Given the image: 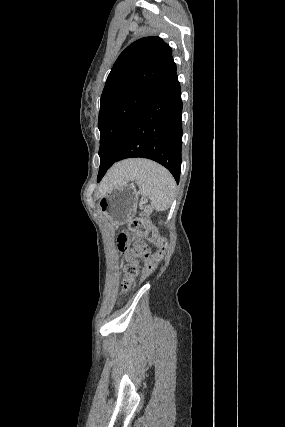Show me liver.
<instances>
[{"instance_id": "1", "label": "liver", "mask_w": 285, "mask_h": 427, "mask_svg": "<svg viewBox=\"0 0 285 427\" xmlns=\"http://www.w3.org/2000/svg\"><path fill=\"white\" fill-rule=\"evenodd\" d=\"M142 160H126L114 165L106 174L100 185V193L105 194L116 185L127 183L133 177Z\"/></svg>"}]
</instances>
